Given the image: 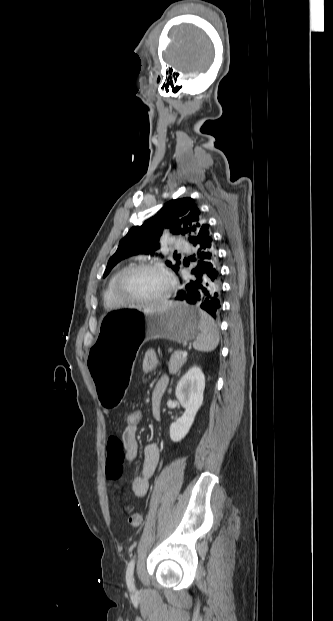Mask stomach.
<instances>
[{
    "label": "stomach",
    "mask_w": 333,
    "mask_h": 621,
    "mask_svg": "<svg viewBox=\"0 0 333 621\" xmlns=\"http://www.w3.org/2000/svg\"><path fill=\"white\" fill-rule=\"evenodd\" d=\"M199 310L173 302L160 312L114 310L103 314L99 336L89 346L94 394L105 412L117 410L130 385L138 347L152 339L188 343L199 334Z\"/></svg>",
    "instance_id": "0dacf381"
}]
</instances>
